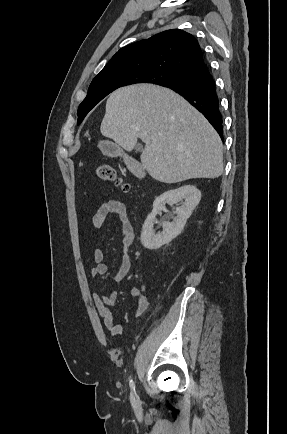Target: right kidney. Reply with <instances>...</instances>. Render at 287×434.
<instances>
[{"mask_svg": "<svg viewBox=\"0 0 287 434\" xmlns=\"http://www.w3.org/2000/svg\"><path fill=\"white\" fill-rule=\"evenodd\" d=\"M201 199V192L193 185H185L177 189L169 190L153 203V210L147 216L141 232V243L146 249L155 250L169 243L176 238L183 230L187 219L198 205ZM181 201V205L176 207L177 216L172 222L163 223V231L155 233L154 222L156 215L165 209L166 204H174Z\"/></svg>", "mask_w": 287, "mask_h": 434, "instance_id": "ca27d5eb", "label": "right kidney"}]
</instances>
